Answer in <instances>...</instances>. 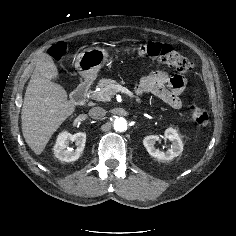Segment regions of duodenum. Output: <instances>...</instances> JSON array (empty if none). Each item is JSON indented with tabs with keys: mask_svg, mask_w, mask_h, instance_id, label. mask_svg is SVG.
I'll use <instances>...</instances> for the list:
<instances>
[{
	"mask_svg": "<svg viewBox=\"0 0 236 236\" xmlns=\"http://www.w3.org/2000/svg\"><path fill=\"white\" fill-rule=\"evenodd\" d=\"M90 82L87 79H82L71 94V100L77 105H82L87 99Z\"/></svg>",
	"mask_w": 236,
	"mask_h": 236,
	"instance_id": "1",
	"label": "duodenum"
}]
</instances>
